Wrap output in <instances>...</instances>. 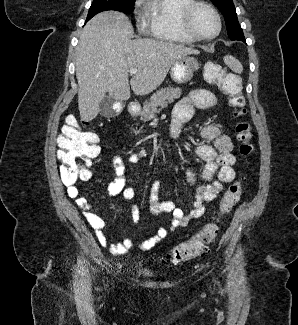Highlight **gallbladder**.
<instances>
[{
  "mask_svg": "<svg viewBox=\"0 0 298 325\" xmlns=\"http://www.w3.org/2000/svg\"><path fill=\"white\" fill-rule=\"evenodd\" d=\"M115 98L112 96H104L99 104V114L101 116H116Z\"/></svg>",
  "mask_w": 298,
  "mask_h": 325,
  "instance_id": "1",
  "label": "gallbladder"
}]
</instances>
